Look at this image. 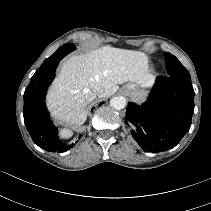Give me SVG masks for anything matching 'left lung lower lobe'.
Segmentation results:
<instances>
[{
    "mask_svg": "<svg viewBox=\"0 0 211 211\" xmlns=\"http://www.w3.org/2000/svg\"><path fill=\"white\" fill-rule=\"evenodd\" d=\"M194 111L191 78L158 77L148 100L129 103L125 120L133 138L146 152L174 148L189 131Z\"/></svg>",
    "mask_w": 211,
    "mask_h": 211,
    "instance_id": "1",
    "label": "left lung lower lobe"
}]
</instances>
